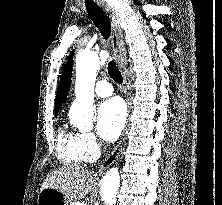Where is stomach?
Masks as SVG:
<instances>
[{
  "mask_svg": "<svg viewBox=\"0 0 222 205\" xmlns=\"http://www.w3.org/2000/svg\"><path fill=\"white\" fill-rule=\"evenodd\" d=\"M37 205H70V199L60 190L44 188L38 194Z\"/></svg>",
  "mask_w": 222,
  "mask_h": 205,
  "instance_id": "obj_1",
  "label": "stomach"
}]
</instances>
